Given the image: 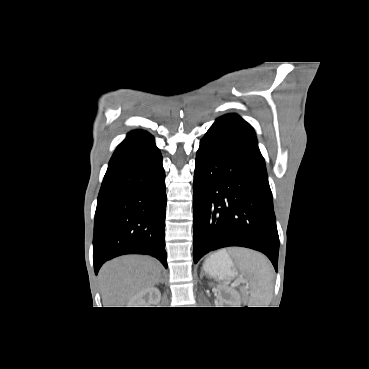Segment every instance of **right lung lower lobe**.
Here are the masks:
<instances>
[{
	"label": "right lung lower lobe",
	"mask_w": 369,
	"mask_h": 369,
	"mask_svg": "<svg viewBox=\"0 0 369 369\" xmlns=\"http://www.w3.org/2000/svg\"><path fill=\"white\" fill-rule=\"evenodd\" d=\"M165 172L152 135L130 132L110 159L95 213L93 262L147 254L167 268Z\"/></svg>",
	"instance_id": "98d812e1"
}]
</instances>
